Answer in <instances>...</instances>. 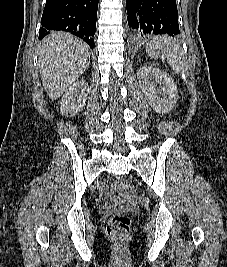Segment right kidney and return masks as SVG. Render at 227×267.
Segmentation results:
<instances>
[{
	"label": "right kidney",
	"mask_w": 227,
	"mask_h": 267,
	"mask_svg": "<svg viewBox=\"0 0 227 267\" xmlns=\"http://www.w3.org/2000/svg\"><path fill=\"white\" fill-rule=\"evenodd\" d=\"M89 87L86 81L73 83L61 99V113L65 116H75L84 107L88 97Z\"/></svg>",
	"instance_id": "ca27d5eb"
}]
</instances>
